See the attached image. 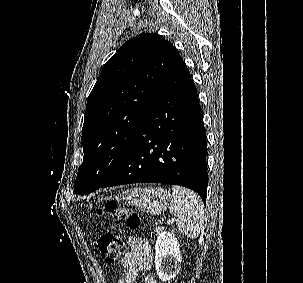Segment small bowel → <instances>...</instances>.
Returning <instances> with one entry per match:
<instances>
[{
  "mask_svg": "<svg viewBox=\"0 0 303 283\" xmlns=\"http://www.w3.org/2000/svg\"><path fill=\"white\" fill-rule=\"evenodd\" d=\"M129 250L121 259L120 268L124 273L116 283H135L138 272L151 266L152 250L145 240L130 236L128 238ZM144 283H155L151 277H146Z\"/></svg>",
  "mask_w": 303,
  "mask_h": 283,
  "instance_id": "1",
  "label": "small bowel"
}]
</instances>
